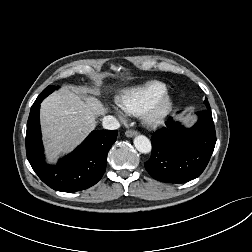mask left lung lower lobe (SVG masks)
Returning a JSON list of instances; mask_svg holds the SVG:
<instances>
[{"mask_svg": "<svg viewBox=\"0 0 252 252\" xmlns=\"http://www.w3.org/2000/svg\"><path fill=\"white\" fill-rule=\"evenodd\" d=\"M197 115L198 121L189 129L169 118L166 127L153 134L152 153L145 168L154 179L185 183L204 171L215 147L216 133L210 107Z\"/></svg>", "mask_w": 252, "mask_h": 252, "instance_id": "1", "label": "left lung lower lobe"}]
</instances>
